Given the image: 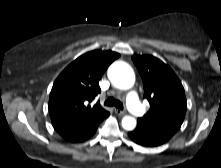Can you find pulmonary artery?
Here are the masks:
<instances>
[{
  "label": "pulmonary artery",
  "mask_w": 221,
  "mask_h": 168,
  "mask_svg": "<svg viewBox=\"0 0 221 168\" xmlns=\"http://www.w3.org/2000/svg\"><path fill=\"white\" fill-rule=\"evenodd\" d=\"M126 103L129 110L134 114L135 116H142L144 114V108L139 102L137 93L135 91H130L126 95Z\"/></svg>",
  "instance_id": "pulmonary-artery-1"
}]
</instances>
